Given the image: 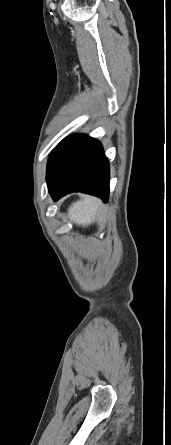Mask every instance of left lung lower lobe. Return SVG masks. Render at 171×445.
<instances>
[{
	"label": "left lung lower lobe",
	"mask_w": 171,
	"mask_h": 445,
	"mask_svg": "<svg viewBox=\"0 0 171 445\" xmlns=\"http://www.w3.org/2000/svg\"><path fill=\"white\" fill-rule=\"evenodd\" d=\"M46 180L54 200L81 191L107 201L109 164L100 142L84 135L64 139L49 157Z\"/></svg>",
	"instance_id": "0a47b994"
}]
</instances>
